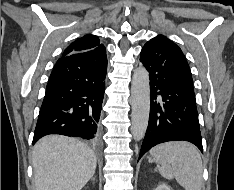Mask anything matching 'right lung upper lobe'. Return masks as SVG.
Returning a JSON list of instances; mask_svg holds the SVG:
<instances>
[{
	"mask_svg": "<svg viewBox=\"0 0 234 190\" xmlns=\"http://www.w3.org/2000/svg\"><path fill=\"white\" fill-rule=\"evenodd\" d=\"M93 49L103 50L105 49L104 45L100 43L99 38L95 35H85L81 38H78L72 42L63 52V56L90 51Z\"/></svg>",
	"mask_w": 234,
	"mask_h": 190,
	"instance_id": "obj_1",
	"label": "right lung upper lobe"
}]
</instances>
